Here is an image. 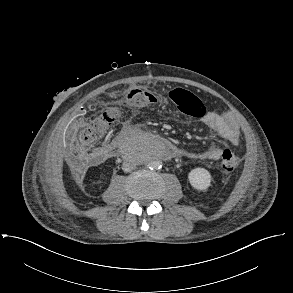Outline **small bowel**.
I'll return each instance as SVG.
<instances>
[{"label":"small bowel","instance_id":"c3829d8e","mask_svg":"<svg viewBox=\"0 0 293 293\" xmlns=\"http://www.w3.org/2000/svg\"><path fill=\"white\" fill-rule=\"evenodd\" d=\"M151 97L153 99L152 94ZM194 115L200 117L202 123L210 131L221 137L225 141L226 146L238 145L240 141V131L235 121L213 112H207L203 102L200 99H198V102L195 106ZM183 155L190 158L215 161L220 159L222 155V147L213 142L203 151H185Z\"/></svg>","mask_w":293,"mask_h":293}]
</instances>
